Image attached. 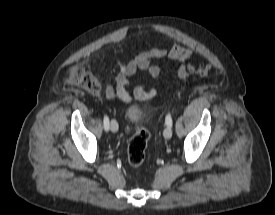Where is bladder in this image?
Segmentation results:
<instances>
[{
  "mask_svg": "<svg viewBox=\"0 0 275 215\" xmlns=\"http://www.w3.org/2000/svg\"><path fill=\"white\" fill-rule=\"evenodd\" d=\"M125 114L130 122H139L144 117L143 111L134 104H129L126 107Z\"/></svg>",
  "mask_w": 275,
  "mask_h": 215,
  "instance_id": "bladder-1",
  "label": "bladder"
}]
</instances>
